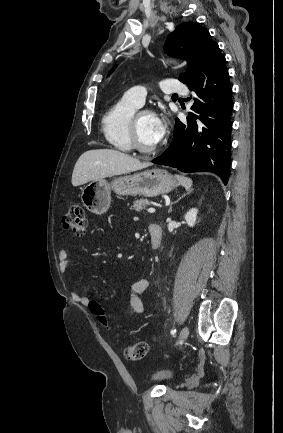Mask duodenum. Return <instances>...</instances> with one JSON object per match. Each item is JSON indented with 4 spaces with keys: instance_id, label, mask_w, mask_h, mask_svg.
I'll list each match as a JSON object with an SVG mask.
<instances>
[{
    "instance_id": "1",
    "label": "duodenum",
    "mask_w": 283,
    "mask_h": 433,
    "mask_svg": "<svg viewBox=\"0 0 283 433\" xmlns=\"http://www.w3.org/2000/svg\"><path fill=\"white\" fill-rule=\"evenodd\" d=\"M149 235L151 238L152 247L154 250H158L162 243V228L158 224H152L149 226Z\"/></svg>"
}]
</instances>
